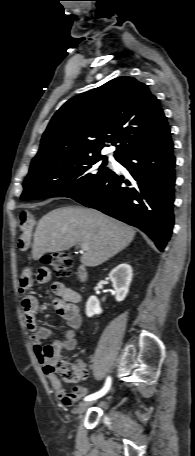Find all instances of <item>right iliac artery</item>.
Wrapping results in <instances>:
<instances>
[{"label":"right iliac artery","mask_w":195,"mask_h":456,"mask_svg":"<svg viewBox=\"0 0 195 456\" xmlns=\"http://www.w3.org/2000/svg\"><path fill=\"white\" fill-rule=\"evenodd\" d=\"M110 387H111V377H108L105 382L104 387L100 391H98L94 394L88 395L87 397L84 398V400L91 401V400L98 399V398L102 397L103 395H105L108 392V390L110 389Z\"/></svg>","instance_id":"right-iliac-artery-1"}]
</instances>
